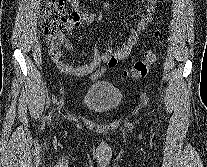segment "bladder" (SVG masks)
<instances>
[{"label": "bladder", "instance_id": "obj_1", "mask_svg": "<svg viewBox=\"0 0 207 167\" xmlns=\"http://www.w3.org/2000/svg\"><path fill=\"white\" fill-rule=\"evenodd\" d=\"M123 101V94L118 87L109 81H98L91 84L82 97L83 106L94 113H110Z\"/></svg>", "mask_w": 207, "mask_h": 167}]
</instances>
